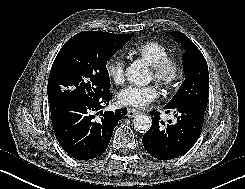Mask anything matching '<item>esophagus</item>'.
Segmentation results:
<instances>
[{"label": "esophagus", "mask_w": 245, "mask_h": 189, "mask_svg": "<svg viewBox=\"0 0 245 189\" xmlns=\"http://www.w3.org/2000/svg\"><path fill=\"white\" fill-rule=\"evenodd\" d=\"M138 113V111L136 110V109H132V108H130V109H128V111H127V117L128 118H132L134 115H136Z\"/></svg>", "instance_id": "esophagus-1"}]
</instances>
